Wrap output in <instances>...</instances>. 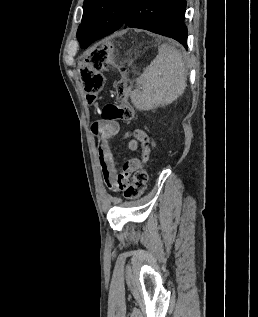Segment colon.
<instances>
[{"label":"colon","mask_w":258,"mask_h":317,"mask_svg":"<svg viewBox=\"0 0 258 317\" xmlns=\"http://www.w3.org/2000/svg\"><path fill=\"white\" fill-rule=\"evenodd\" d=\"M108 63L107 50L97 47L89 51L79 65L80 75L84 84L88 101L94 102L104 86L102 71ZM117 103H108L103 106L101 118L105 121L126 120L134 117V107L129 102L128 89L124 81L116 85ZM147 173L139 170L135 173L132 182L125 188L124 195L128 199L139 198L145 191Z\"/></svg>","instance_id":"colon-1"}]
</instances>
